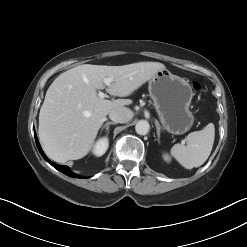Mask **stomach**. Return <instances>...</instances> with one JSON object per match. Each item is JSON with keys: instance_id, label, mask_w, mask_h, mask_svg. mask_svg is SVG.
Instances as JSON below:
<instances>
[{"instance_id": "1", "label": "stomach", "mask_w": 247, "mask_h": 247, "mask_svg": "<svg viewBox=\"0 0 247 247\" xmlns=\"http://www.w3.org/2000/svg\"><path fill=\"white\" fill-rule=\"evenodd\" d=\"M149 93L165 130L171 134L186 133L194 123L189 109L193 91L187 81L169 70H159L149 81Z\"/></svg>"}]
</instances>
